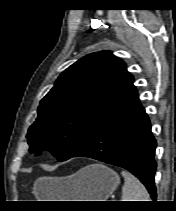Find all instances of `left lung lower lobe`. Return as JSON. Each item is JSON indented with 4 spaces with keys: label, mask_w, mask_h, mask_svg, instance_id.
Returning <instances> with one entry per match:
<instances>
[{
    "label": "left lung lower lobe",
    "mask_w": 176,
    "mask_h": 211,
    "mask_svg": "<svg viewBox=\"0 0 176 211\" xmlns=\"http://www.w3.org/2000/svg\"><path fill=\"white\" fill-rule=\"evenodd\" d=\"M155 147L149 118L137 98L104 122L73 157H89L127 169L156 200Z\"/></svg>",
    "instance_id": "0a47b994"
}]
</instances>
